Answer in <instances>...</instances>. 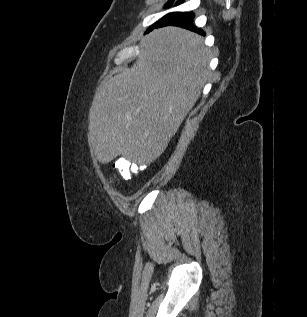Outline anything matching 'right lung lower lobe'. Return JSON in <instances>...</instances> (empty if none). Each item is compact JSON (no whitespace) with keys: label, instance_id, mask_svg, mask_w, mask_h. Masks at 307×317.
Returning a JSON list of instances; mask_svg holds the SVG:
<instances>
[{"label":"right lung lower lobe","instance_id":"1","mask_svg":"<svg viewBox=\"0 0 307 317\" xmlns=\"http://www.w3.org/2000/svg\"><path fill=\"white\" fill-rule=\"evenodd\" d=\"M182 0L178 1L176 5H179ZM194 13L193 12H172L164 17H162L156 24L149 27L147 33L153 30L154 28L163 27V26H180L191 31L197 32L201 35H205V33L194 26L193 24Z\"/></svg>","mask_w":307,"mask_h":317}]
</instances>
